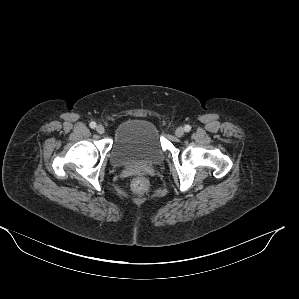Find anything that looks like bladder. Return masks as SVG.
Wrapping results in <instances>:
<instances>
[{"label":"bladder","mask_w":299,"mask_h":299,"mask_svg":"<svg viewBox=\"0 0 299 299\" xmlns=\"http://www.w3.org/2000/svg\"><path fill=\"white\" fill-rule=\"evenodd\" d=\"M164 158L157 126L145 118H131L116 129L109 161L117 167L154 165Z\"/></svg>","instance_id":"obj_1"}]
</instances>
